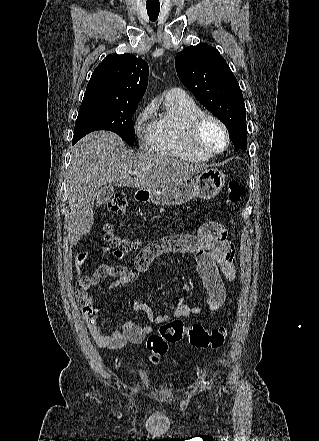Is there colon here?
Returning a JSON list of instances; mask_svg holds the SVG:
<instances>
[{"mask_svg":"<svg viewBox=\"0 0 319 441\" xmlns=\"http://www.w3.org/2000/svg\"><path fill=\"white\" fill-rule=\"evenodd\" d=\"M244 193L245 188L240 182L236 180L230 181L225 193L226 205L231 206L239 202ZM126 207L127 200L121 192L115 193L108 202V210L117 215L123 214ZM104 238L116 258L123 257L126 253L137 249L140 245L137 240L124 238L116 234L110 226L105 227ZM83 276L84 273H82ZM82 277L78 275V282ZM184 335H187L190 344L196 348L217 349L225 343L227 329L224 326H219L209 330L199 324L185 329L183 322L179 318L170 319L163 322L158 332L150 335L147 339V349L151 352V361L158 363L160 358L166 354L168 345L180 341Z\"/></svg>","mask_w":319,"mask_h":441,"instance_id":"obj_1","label":"colon"}]
</instances>
